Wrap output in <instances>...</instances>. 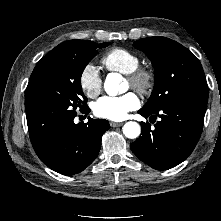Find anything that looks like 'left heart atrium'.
Returning a JSON list of instances; mask_svg holds the SVG:
<instances>
[{
    "label": "left heart atrium",
    "mask_w": 221,
    "mask_h": 221,
    "mask_svg": "<svg viewBox=\"0 0 221 221\" xmlns=\"http://www.w3.org/2000/svg\"><path fill=\"white\" fill-rule=\"evenodd\" d=\"M140 101L133 92L122 96H103L93 105V112L97 117L120 121L127 117L130 111L137 109Z\"/></svg>",
    "instance_id": "obj_1"
}]
</instances>
